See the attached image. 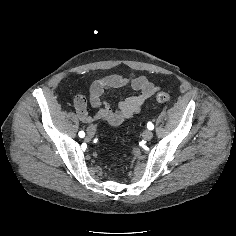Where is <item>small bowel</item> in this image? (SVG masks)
<instances>
[{"mask_svg":"<svg viewBox=\"0 0 236 236\" xmlns=\"http://www.w3.org/2000/svg\"><path fill=\"white\" fill-rule=\"evenodd\" d=\"M125 86H130L137 93L120 101L115 109L103 100L104 92H120ZM158 89L145 76L134 73L126 77L111 74L95 80L89 88V102L96 109L95 114H89L87 100L82 95H78L74 99V107L78 118L84 123L101 121L111 126H119L125 120L138 114L144 102L152 97Z\"/></svg>","mask_w":236,"mask_h":236,"instance_id":"c3829d8e","label":"small bowel"}]
</instances>
